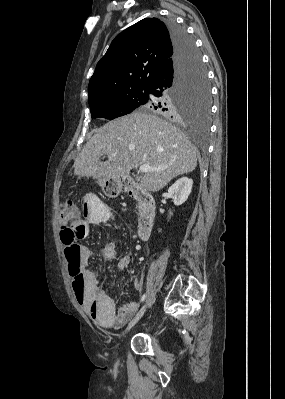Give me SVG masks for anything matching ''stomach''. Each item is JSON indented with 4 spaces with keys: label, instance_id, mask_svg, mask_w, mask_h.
Instances as JSON below:
<instances>
[{
    "label": "stomach",
    "instance_id": "obj_1",
    "mask_svg": "<svg viewBox=\"0 0 285 399\" xmlns=\"http://www.w3.org/2000/svg\"><path fill=\"white\" fill-rule=\"evenodd\" d=\"M99 185L103 192L111 198L117 197L123 188V182L120 178L117 179H100Z\"/></svg>",
    "mask_w": 285,
    "mask_h": 399
}]
</instances>
